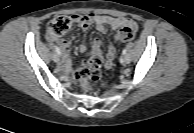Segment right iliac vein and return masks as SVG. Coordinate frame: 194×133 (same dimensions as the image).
<instances>
[{
	"label": "right iliac vein",
	"mask_w": 194,
	"mask_h": 133,
	"mask_svg": "<svg viewBox=\"0 0 194 133\" xmlns=\"http://www.w3.org/2000/svg\"><path fill=\"white\" fill-rule=\"evenodd\" d=\"M53 60H54L56 63H59L60 58H59L58 54H54V55H53Z\"/></svg>",
	"instance_id": "right-iliac-vein-1"
}]
</instances>
